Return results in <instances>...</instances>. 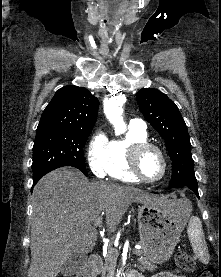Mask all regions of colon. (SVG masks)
I'll use <instances>...</instances> for the list:
<instances>
[{"label":"colon","mask_w":221,"mask_h":277,"mask_svg":"<svg viewBox=\"0 0 221 277\" xmlns=\"http://www.w3.org/2000/svg\"><path fill=\"white\" fill-rule=\"evenodd\" d=\"M175 263L179 268L188 272H192L196 266L195 259L185 251H179L175 255ZM197 277H216V274L213 268H204L198 272Z\"/></svg>","instance_id":"colon-1"}]
</instances>
